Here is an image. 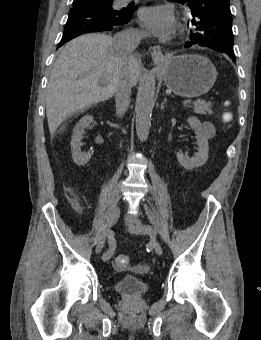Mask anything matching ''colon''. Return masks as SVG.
I'll return each mask as SVG.
<instances>
[{
    "mask_svg": "<svg viewBox=\"0 0 261 340\" xmlns=\"http://www.w3.org/2000/svg\"><path fill=\"white\" fill-rule=\"evenodd\" d=\"M225 105H228V102L225 103ZM232 119V114L229 111H225L223 113V120L225 122H229ZM129 265V258L126 255H118L116 256L114 260V267L117 270H124Z\"/></svg>",
    "mask_w": 261,
    "mask_h": 340,
    "instance_id": "obj_1",
    "label": "colon"
}]
</instances>
